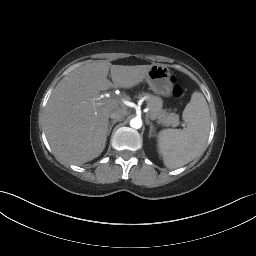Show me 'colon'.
I'll return each mask as SVG.
<instances>
[{"mask_svg": "<svg viewBox=\"0 0 256 256\" xmlns=\"http://www.w3.org/2000/svg\"><path fill=\"white\" fill-rule=\"evenodd\" d=\"M173 94L175 97H180L182 95V88L179 85H175L173 88Z\"/></svg>", "mask_w": 256, "mask_h": 256, "instance_id": "5ec220e1", "label": "colon"}]
</instances>
